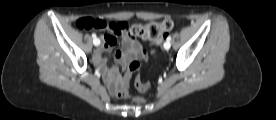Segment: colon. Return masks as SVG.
I'll return each mask as SVG.
<instances>
[{
	"label": "colon",
	"mask_w": 276,
	"mask_h": 120,
	"mask_svg": "<svg viewBox=\"0 0 276 120\" xmlns=\"http://www.w3.org/2000/svg\"><path fill=\"white\" fill-rule=\"evenodd\" d=\"M75 26L81 30L103 29L106 26V22L97 18L84 17L78 19L75 22ZM173 26V21L166 18L159 23L133 24L127 26L125 31L128 35L139 36L143 39L149 40L154 45H158L162 42L166 34L172 30ZM140 68L141 63L138 60H134L129 64L128 72L116 90L115 95L117 98L125 99L129 96L128 85L132 75H135V86L140 92H145L150 88V83H144L140 80ZM135 100L138 103H144V99L140 97H137Z\"/></svg>",
	"instance_id": "1"
}]
</instances>
